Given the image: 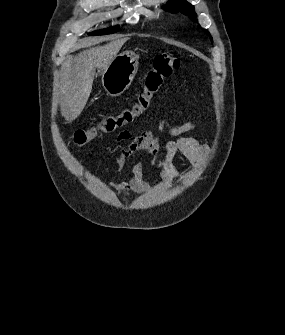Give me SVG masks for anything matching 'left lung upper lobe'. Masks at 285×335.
Segmentation results:
<instances>
[{
  "label": "left lung upper lobe",
  "instance_id": "left-lung-upper-lobe-1",
  "mask_svg": "<svg viewBox=\"0 0 285 335\" xmlns=\"http://www.w3.org/2000/svg\"><path fill=\"white\" fill-rule=\"evenodd\" d=\"M167 11L181 12L188 15L190 19L196 21V13L194 12V6L185 0H171L164 8ZM212 40V38H211Z\"/></svg>",
  "mask_w": 285,
  "mask_h": 335
}]
</instances>
